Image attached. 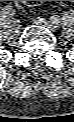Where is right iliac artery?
Returning a JSON list of instances; mask_svg holds the SVG:
<instances>
[{
  "instance_id": "1",
  "label": "right iliac artery",
  "mask_w": 74,
  "mask_h": 122,
  "mask_svg": "<svg viewBox=\"0 0 74 122\" xmlns=\"http://www.w3.org/2000/svg\"><path fill=\"white\" fill-rule=\"evenodd\" d=\"M3 13H4V14L13 15V14H14V9H13V7H11V6H5V7L3 8Z\"/></svg>"
}]
</instances>
